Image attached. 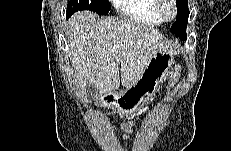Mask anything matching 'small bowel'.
Listing matches in <instances>:
<instances>
[{
  "instance_id": "c3829d8e",
  "label": "small bowel",
  "mask_w": 231,
  "mask_h": 151,
  "mask_svg": "<svg viewBox=\"0 0 231 151\" xmlns=\"http://www.w3.org/2000/svg\"><path fill=\"white\" fill-rule=\"evenodd\" d=\"M121 128L126 132H130L131 131V124H129V123L122 124ZM125 138H127V136Z\"/></svg>"
}]
</instances>
